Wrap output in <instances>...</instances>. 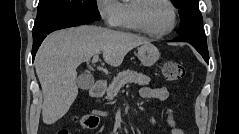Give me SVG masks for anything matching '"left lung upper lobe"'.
Wrapping results in <instances>:
<instances>
[{
    "mask_svg": "<svg viewBox=\"0 0 239 134\" xmlns=\"http://www.w3.org/2000/svg\"><path fill=\"white\" fill-rule=\"evenodd\" d=\"M198 2L199 0H172V3L179 9L181 20L178 34L205 36Z\"/></svg>",
    "mask_w": 239,
    "mask_h": 134,
    "instance_id": "1",
    "label": "left lung upper lobe"
}]
</instances>
